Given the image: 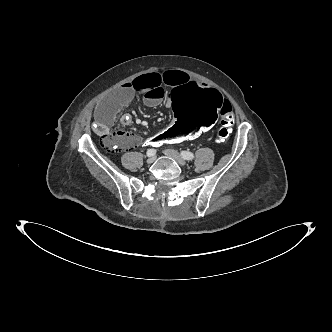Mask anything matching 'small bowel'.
I'll list each match as a JSON object with an SVG mask.
<instances>
[{
  "label": "small bowel",
  "mask_w": 332,
  "mask_h": 332,
  "mask_svg": "<svg viewBox=\"0 0 332 332\" xmlns=\"http://www.w3.org/2000/svg\"><path fill=\"white\" fill-rule=\"evenodd\" d=\"M188 82L201 83L197 80L191 79L189 75L183 71L172 69L166 70L162 73L150 72L140 75L127 82L99 102L94 113L95 120L98 125L105 126L108 119L113 117L122 106L131 101L137 92L144 94V102L147 106L155 107L169 95L167 90L171 91L173 88L179 87ZM120 121L123 126L131 124V119L127 116H123ZM120 134L125 147H132L140 141L139 137L130 133Z\"/></svg>",
  "instance_id": "obj_1"
}]
</instances>
